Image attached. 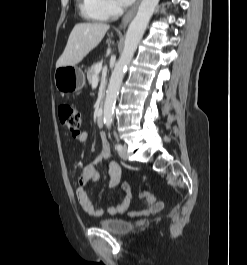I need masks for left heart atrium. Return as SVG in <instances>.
<instances>
[{"label":"left heart atrium","instance_id":"left-heart-atrium-1","mask_svg":"<svg viewBox=\"0 0 247 265\" xmlns=\"http://www.w3.org/2000/svg\"><path fill=\"white\" fill-rule=\"evenodd\" d=\"M122 4L128 5L130 4L133 0H119Z\"/></svg>","mask_w":247,"mask_h":265}]
</instances>
